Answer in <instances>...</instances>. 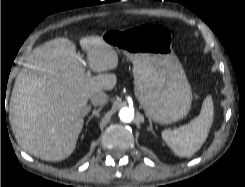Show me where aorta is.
Returning a JSON list of instances; mask_svg holds the SVG:
<instances>
[{"instance_id": "aorta-1", "label": "aorta", "mask_w": 245, "mask_h": 187, "mask_svg": "<svg viewBox=\"0 0 245 187\" xmlns=\"http://www.w3.org/2000/svg\"><path fill=\"white\" fill-rule=\"evenodd\" d=\"M119 117L121 121L129 123L133 120L134 118V110L131 108H122L119 112Z\"/></svg>"}]
</instances>
